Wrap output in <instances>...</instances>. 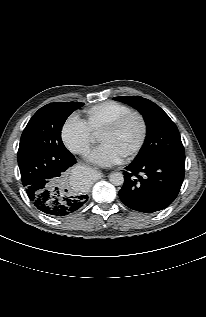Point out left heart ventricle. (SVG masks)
Segmentation results:
<instances>
[{"label": "left heart ventricle", "instance_id": "b2bd125f", "mask_svg": "<svg viewBox=\"0 0 206 317\" xmlns=\"http://www.w3.org/2000/svg\"><path fill=\"white\" fill-rule=\"evenodd\" d=\"M141 132L140 121L130 118L120 129L114 132H101L99 140L115 147L123 155L137 143Z\"/></svg>", "mask_w": 206, "mask_h": 317}]
</instances>
